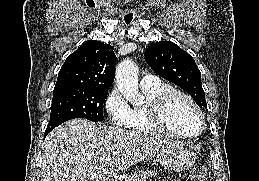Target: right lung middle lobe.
<instances>
[{"instance_id": "dd1d6c3e", "label": "right lung middle lobe", "mask_w": 259, "mask_h": 181, "mask_svg": "<svg viewBox=\"0 0 259 181\" xmlns=\"http://www.w3.org/2000/svg\"><path fill=\"white\" fill-rule=\"evenodd\" d=\"M108 90L91 88H54L50 121L46 131L74 118L103 121V103Z\"/></svg>"}]
</instances>
